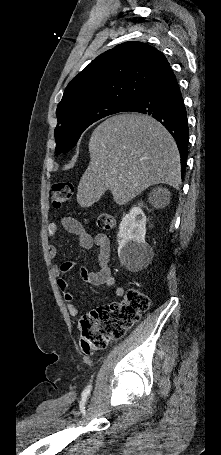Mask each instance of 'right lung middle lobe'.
Here are the masks:
<instances>
[{
	"label": "right lung middle lobe",
	"mask_w": 221,
	"mask_h": 455,
	"mask_svg": "<svg viewBox=\"0 0 221 455\" xmlns=\"http://www.w3.org/2000/svg\"><path fill=\"white\" fill-rule=\"evenodd\" d=\"M127 106L116 101H104L59 117L55 129L56 153L68 152L75 146L88 126L108 115L124 112Z\"/></svg>",
	"instance_id": "right-lung-middle-lobe-1"
}]
</instances>
